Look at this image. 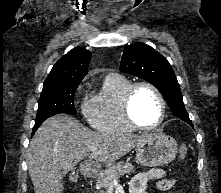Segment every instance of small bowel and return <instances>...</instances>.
<instances>
[{
    "label": "small bowel",
    "instance_id": "1",
    "mask_svg": "<svg viewBox=\"0 0 221 193\" xmlns=\"http://www.w3.org/2000/svg\"><path fill=\"white\" fill-rule=\"evenodd\" d=\"M150 180H156L158 189L168 191L176 183L177 179H169L162 168H153L146 172L136 174L130 184V193H146V187Z\"/></svg>",
    "mask_w": 221,
    "mask_h": 193
}]
</instances>
